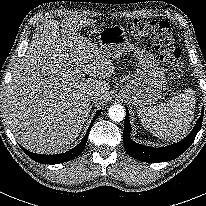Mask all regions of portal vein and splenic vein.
<instances>
[{
    "instance_id": "portal-vein-and-splenic-vein-1",
    "label": "portal vein and splenic vein",
    "mask_w": 206,
    "mask_h": 206,
    "mask_svg": "<svg viewBox=\"0 0 206 206\" xmlns=\"http://www.w3.org/2000/svg\"><path fill=\"white\" fill-rule=\"evenodd\" d=\"M77 72H80V71H77ZM79 76H80V77H83V76H84V74H80Z\"/></svg>"
}]
</instances>
